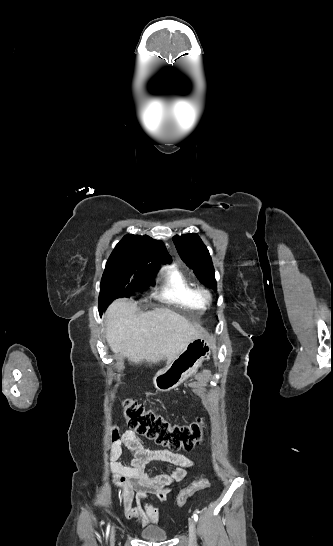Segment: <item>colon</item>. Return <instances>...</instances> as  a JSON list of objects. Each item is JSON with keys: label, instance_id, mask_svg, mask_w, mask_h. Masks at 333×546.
<instances>
[{"label": "colon", "instance_id": "obj_1", "mask_svg": "<svg viewBox=\"0 0 333 546\" xmlns=\"http://www.w3.org/2000/svg\"><path fill=\"white\" fill-rule=\"evenodd\" d=\"M123 412L126 424L130 429L171 450L191 451L202 442V419L188 425H172L160 415L134 400L124 402ZM208 487L209 481L206 479L192 482L177 496V505L182 507L191 495Z\"/></svg>", "mask_w": 333, "mask_h": 546}]
</instances>
